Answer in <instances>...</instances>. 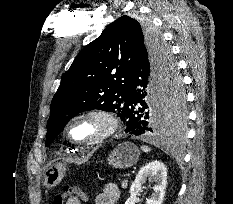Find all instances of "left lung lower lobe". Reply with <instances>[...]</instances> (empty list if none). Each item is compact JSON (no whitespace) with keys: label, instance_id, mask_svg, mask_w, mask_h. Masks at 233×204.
I'll list each match as a JSON object with an SVG mask.
<instances>
[{"label":"left lung lower lobe","instance_id":"obj_1","mask_svg":"<svg viewBox=\"0 0 233 204\" xmlns=\"http://www.w3.org/2000/svg\"><path fill=\"white\" fill-rule=\"evenodd\" d=\"M179 78L181 79L176 66L170 86ZM164 86L158 73L147 59V53L144 49H140L130 70L129 97L125 103L122 118L126 125L125 132L128 135L166 134L176 130L183 132L184 120L178 127L163 129L166 98V88L163 91ZM152 104L161 106V110L155 112Z\"/></svg>","mask_w":233,"mask_h":204}]
</instances>
